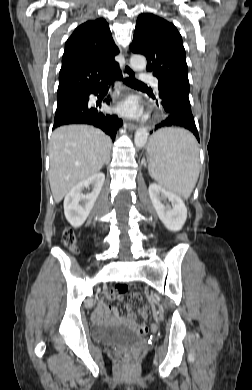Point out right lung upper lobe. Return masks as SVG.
I'll return each mask as SVG.
<instances>
[{"mask_svg": "<svg viewBox=\"0 0 252 390\" xmlns=\"http://www.w3.org/2000/svg\"><path fill=\"white\" fill-rule=\"evenodd\" d=\"M119 53L104 19L87 21L66 41L59 72L57 102L106 83L119 70Z\"/></svg>", "mask_w": 252, "mask_h": 390, "instance_id": "right-lung-upper-lobe-1", "label": "right lung upper lobe"}]
</instances>
